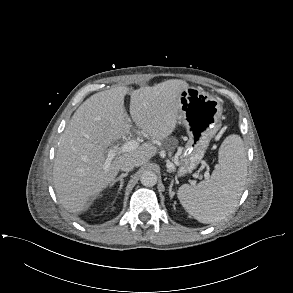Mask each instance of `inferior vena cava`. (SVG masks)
Masks as SVG:
<instances>
[{
    "label": "inferior vena cava",
    "instance_id": "602c4592",
    "mask_svg": "<svg viewBox=\"0 0 293 293\" xmlns=\"http://www.w3.org/2000/svg\"><path fill=\"white\" fill-rule=\"evenodd\" d=\"M135 167V163L133 162V160L131 159H125L123 162H122V165H121V170L122 171H125V172H129L131 171L133 168Z\"/></svg>",
    "mask_w": 293,
    "mask_h": 293
}]
</instances>
